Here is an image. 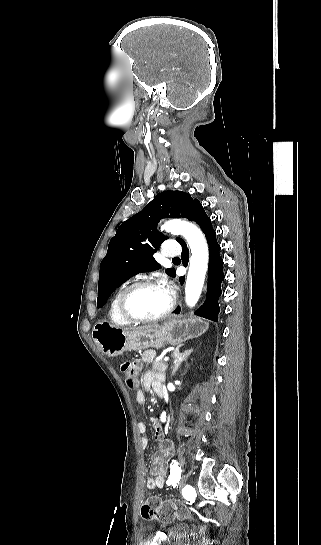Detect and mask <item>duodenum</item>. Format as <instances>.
I'll return each instance as SVG.
<instances>
[{
	"mask_svg": "<svg viewBox=\"0 0 321 545\" xmlns=\"http://www.w3.org/2000/svg\"><path fill=\"white\" fill-rule=\"evenodd\" d=\"M158 395L162 396V394H161V393H158Z\"/></svg>",
	"mask_w": 321,
	"mask_h": 545,
	"instance_id": "duodenum-1",
	"label": "duodenum"
}]
</instances>
